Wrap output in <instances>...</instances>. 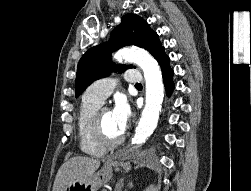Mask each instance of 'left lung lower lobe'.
<instances>
[{
	"instance_id": "1",
	"label": "left lung lower lobe",
	"mask_w": 251,
	"mask_h": 191,
	"mask_svg": "<svg viewBox=\"0 0 251 191\" xmlns=\"http://www.w3.org/2000/svg\"><path fill=\"white\" fill-rule=\"evenodd\" d=\"M157 61L160 64L161 69H162L163 80H164V85L166 87V91L168 95H170L174 89V83L172 81L174 72L170 67V59L165 54V52H162L157 58Z\"/></svg>"
}]
</instances>
